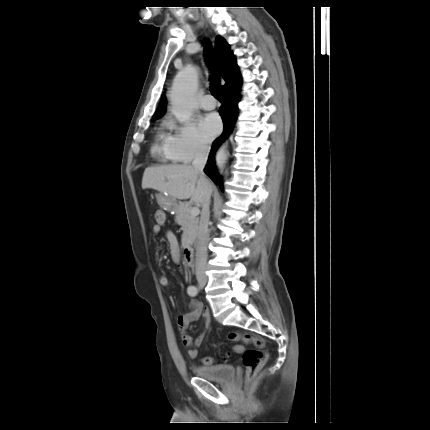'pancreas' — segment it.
<instances>
[{
	"instance_id": "pancreas-1",
	"label": "pancreas",
	"mask_w": 430,
	"mask_h": 430,
	"mask_svg": "<svg viewBox=\"0 0 430 430\" xmlns=\"http://www.w3.org/2000/svg\"><path fill=\"white\" fill-rule=\"evenodd\" d=\"M191 205L181 203L175 208V221L182 227V244L186 245L192 242L197 234L199 218L190 213Z\"/></svg>"
}]
</instances>
